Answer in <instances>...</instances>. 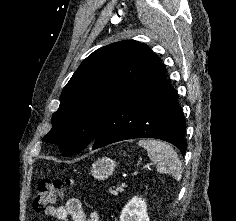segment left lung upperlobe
Returning a JSON list of instances; mask_svg holds the SVG:
<instances>
[{
    "label": "left lung upper lobe",
    "instance_id": "1",
    "mask_svg": "<svg viewBox=\"0 0 236 221\" xmlns=\"http://www.w3.org/2000/svg\"><path fill=\"white\" fill-rule=\"evenodd\" d=\"M147 45L125 40L99 48L75 71L43 140L71 156L92 143L112 111L159 63Z\"/></svg>",
    "mask_w": 236,
    "mask_h": 221
}]
</instances>
